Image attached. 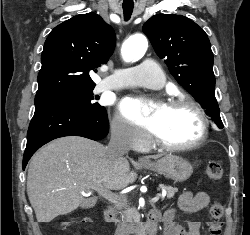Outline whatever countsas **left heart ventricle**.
<instances>
[{
    "instance_id": "b2bd125f",
    "label": "left heart ventricle",
    "mask_w": 250,
    "mask_h": 235,
    "mask_svg": "<svg viewBox=\"0 0 250 235\" xmlns=\"http://www.w3.org/2000/svg\"><path fill=\"white\" fill-rule=\"evenodd\" d=\"M152 116L154 131L169 144H184L193 141L200 129L197 114L189 107H157Z\"/></svg>"
}]
</instances>
